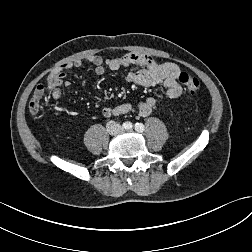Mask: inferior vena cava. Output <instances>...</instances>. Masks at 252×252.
<instances>
[{"instance_id":"1","label":"inferior vena cava","mask_w":252,"mask_h":252,"mask_svg":"<svg viewBox=\"0 0 252 252\" xmlns=\"http://www.w3.org/2000/svg\"><path fill=\"white\" fill-rule=\"evenodd\" d=\"M106 128H107L108 132L112 135H116L122 131V127L114 121L108 122L106 124Z\"/></svg>"}]
</instances>
